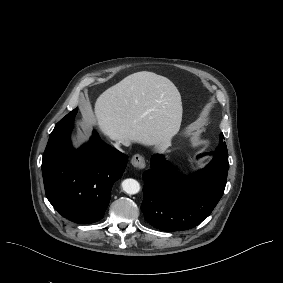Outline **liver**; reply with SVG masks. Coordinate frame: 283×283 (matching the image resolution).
I'll list each match as a JSON object with an SVG mask.
<instances>
[{"mask_svg": "<svg viewBox=\"0 0 283 283\" xmlns=\"http://www.w3.org/2000/svg\"><path fill=\"white\" fill-rule=\"evenodd\" d=\"M182 111L181 95L173 82L141 71L104 91L95 103L94 115L83 114L81 126L90 129L96 121L104 135L124 146L138 142L162 151L178 133Z\"/></svg>", "mask_w": 283, "mask_h": 283, "instance_id": "6515ba94", "label": "liver"}]
</instances>
